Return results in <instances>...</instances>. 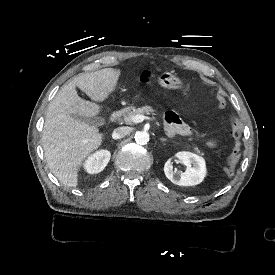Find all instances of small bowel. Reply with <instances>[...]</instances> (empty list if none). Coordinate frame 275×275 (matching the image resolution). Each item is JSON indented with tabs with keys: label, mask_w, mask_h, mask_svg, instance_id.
Instances as JSON below:
<instances>
[{
	"label": "small bowel",
	"mask_w": 275,
	"mask_h": 275,
	"mask_svg": "<svg viewBox=\"0 0 275 275\" xmlns=\"http://www.w3.org/2000/svg\"><path fill=\"white\" fill-rule=\"evenodd\" d=\"M141 74L144 77L151 75V70L148 67L141 69ZM166 132L173 136L176 134L187 136L191 134V128L183 121V119L176 112H168L166 115ZM209 147L215 146V141L208 142Z\"/></svg>",
	"instance_id": "small-bowel-1"
}]
</instances>
